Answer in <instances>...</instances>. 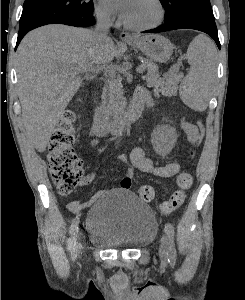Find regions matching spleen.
<instances>
[{
	"instance_id": "3e777b00",
	"label": "spleen",
	"mask_w": 245,
	"mask_h": 300,
	"mask_svg": "<svg viewBox=\"0 0 245 300\" xmlns=\"http://www.w3.org/2000/svg\"><path fill=\"white\" fill-rule=\"evenodd\" d=\"M187 59L191 69L180 85L179 95L191 109L204 111L212 96L217 67L216 47L208 37L198 36L188 47Z\"/></svg>"
}]
</instances>
